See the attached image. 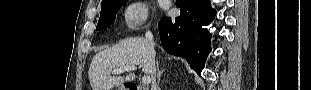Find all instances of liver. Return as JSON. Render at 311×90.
<instances>
[{"label": "liver", "mask_w": 311, "mask_h": 90, "mask_svg": "<svg viewBox=\"0 0 311 90\" xmlns=\"http://www.w3.org/2000/svg\"><path fill=\"white\" fill-rule=\"evenodd\" d=\"M154 54L153 43L138 37L122 40L112 48L98 52L93 57L88 72L92 90H112L126 80L131 81L135 78L134 73L126 77L111 76V72L120 67L139 65L145 74L152 75Z\"/></svg>", "instance_id": "liver-1"}]
</instances>
